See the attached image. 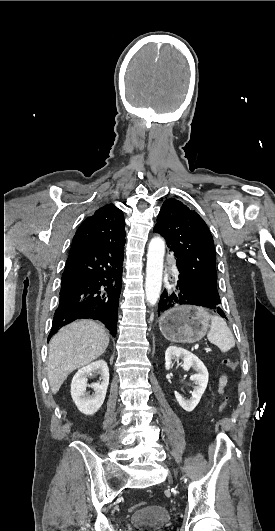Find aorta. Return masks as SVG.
Here are the masks:
<instances>
[{
  "label": "aorta",
  "instance_id": "obj_1",
  "mask_svg": "<svg viewBox=\"0 0 275 531\" xmlns=\"http://www.w3.org/2000/svg\"><path fill=\"white\" fill-rule=\"evenodd\" d=\"M164 253L163 239L160 237L151 239L148 247L145 283L146 301L151 307L156 305L161 293Z\"/></svg>",
  "mask_w": 275,
  "mask_h": 531
}]
</instances>
